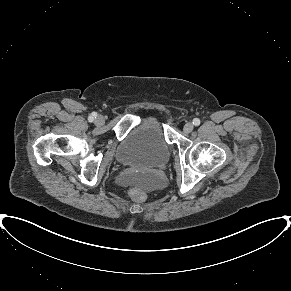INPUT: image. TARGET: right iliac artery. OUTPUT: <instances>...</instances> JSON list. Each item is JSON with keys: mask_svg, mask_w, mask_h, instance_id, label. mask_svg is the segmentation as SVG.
Instances as JSON below:
<instances>
[{"mask_svg": "<svg viewBox=\"0 0 291 291\" xmlns=\"http://www.w3.org/2000/svg\"><path fill=\"white\" fill-rule=\"evenodd\" d=\"M96 116H97V113L93 112V113L89 116L88 120H89L90 122H92V121L94 120V118H96Z\"/></svg>", "mask_w": 291, "mask_h": 291, "instance_id": "right-iliac-artery-1", "label": "right iliac artery"}]
</instances>
